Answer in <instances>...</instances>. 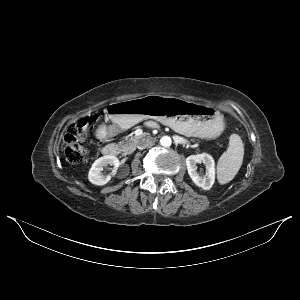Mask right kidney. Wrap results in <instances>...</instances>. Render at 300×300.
<instances>
[{
	"mask_svg": "<svg viewBox=\"0 0 300 300\" xmlns=\"http://www.w3.org/2000/svg\"><path fill=\"white\" fill-rule=\"evenodd\" d=\"M108 165L114 166L112 172L111 174L103 175V168ZM119 165L118 158L113 155L100 157L92 164L88 173V179L92 184L100 186L105 185L111 180V175L114 176L116 174Z\"/></svg>",
	"mask_w": 300,
	"mask_h": 300,
	"instance_id": "ca27d5eb",
	"label": "right kidney"
}]
</instances>
